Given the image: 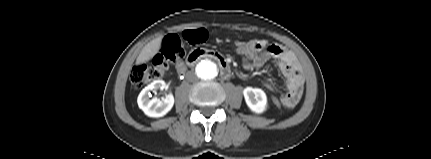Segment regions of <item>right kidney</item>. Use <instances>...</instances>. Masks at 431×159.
<instances>
[{
    "instance_id": "ca27d5eb",
    "label": "right kidney",
    "mask_w": 431,
    "mask_h": 159,
    "mask_svg": "<svg viewBox=\"0 0 431 159\" xmlns=\"http://www.w3.org/2000/svg\"><path fill=\"white\" fill-rule=\"evenodd\" d=\"M165 87L166 84L163 80H155L140 92L137 103L147 116L162 117L172 109L174 105L172 94H168L162 99L157 97L150 99L151 91L156 92L158 89H164Z\"/></svg>"
}]
</instances>
